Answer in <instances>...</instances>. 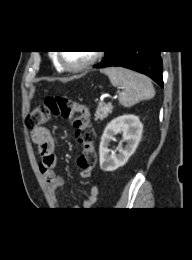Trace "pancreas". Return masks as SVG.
Returning a JSON list of instances; mask_svg holds the SVG:
<instances>
[{
	"instance_id": "obj_1",
	"label": "pancreas",
	"mask_w": 192,
	"mask_h": 260,
	"mask_svg": "<svg viewBox=\"0 0 192 260\" xmlns=\"http://www.w3.org/2000/svg\"><path fill=\"white\" fill-rule=\"evenodd\" d=\"M113 110L112 105H103L99 104L95 113V120H103L105 119L108 114H111Z\"/></svg>"
}]
</instances>
